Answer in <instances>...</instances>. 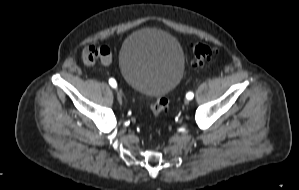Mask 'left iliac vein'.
<instances>
[{
    "mask_svg": "<svg viewBox=\"0 0 299 190\" xmlns=\"http://www.w3.org/2000/svg\"><path fill=\"white\" fill-rule=\"evenodd\" d=\"M184 103L187 105V104H189V99H186L185 101H184Z\"/></svg>",
    "mask_w": 299,
    "mask_h": 190,
    "instance_id": "4c4485c4",
    "label": "left iliac vein"
}]
</instances>
